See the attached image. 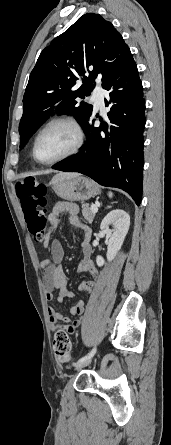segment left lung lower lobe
<instances>
[{"label": "left lung lower lobe", "mask_w": 171, "mask_h": 445, "mask_svg": "<svg viewBox=\"0 0 171 445\" xmlns=\"http://www.w3.org/2000/svg\"><path fill=\"white\" fill-rule=\"evenodd\" d=\"M110 108L107 121L94 119L83 126L87 142L72 157L63 159L56 170L79 172L97 183L129 193L137 205L143 188V130L145 100L135 63L116 73L103 86Z\"/></svg>", "instance_id": "1"}]
</instances>
